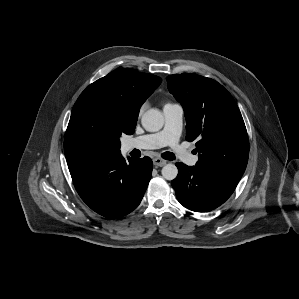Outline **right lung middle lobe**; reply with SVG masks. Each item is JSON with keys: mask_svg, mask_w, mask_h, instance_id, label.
I'll list each match as a JSON object with an SVG mask.
<instances>
[{"mask_svg": "<svg viewBox=\"0 0 299 299\" xmlns=\"http://www.w3.org/2000/svg\"><path fill=\"white\" fill-rule=\"evenodd\" d=\"M119 107L99 96L77 99L64 138L67 162H95L120 153V137L132 134Z\"/></svg>", "mask_w": 299, "mask_h": 299, "instance_id": "right-lung-middle-lobe-1", "label": "right lung middle lobe"}]
</instances>
